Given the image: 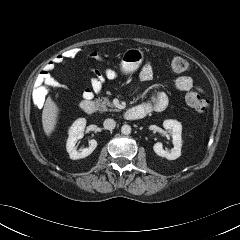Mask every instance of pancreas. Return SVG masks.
Returning <instances> with one entry per match:
<instances>
[{"instance_id":"1","label":"pancreas","mask_w":240,"mask_h":240,"mask_svg":"<svg viewBox=\"0 0 240 240\" xmlns=\"http://www.w3.org/2000/svg\"><path fill=\"white\" fill-rule=\"evenodd\" d=\"M95 102H96V105H97L98 109L102 112L107 111V110L119 111V109H116V108L113 109L114 105L106 97L98 98V99H96ZM108 107H111V109H108Z\"/></svg>"}]
</instances>
